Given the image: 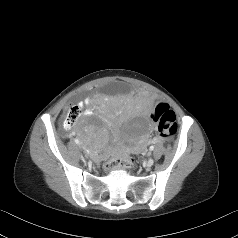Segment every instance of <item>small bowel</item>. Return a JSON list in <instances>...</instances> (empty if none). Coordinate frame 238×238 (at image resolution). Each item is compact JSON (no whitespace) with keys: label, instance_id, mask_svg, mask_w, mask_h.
I'll return each mask as SVG.
<instances>
[{"label":"small bowel","instance_id":"1","mask_svg":"<svg viewBox=\"0 0 238 238\" xmlns=\"http://www.w3.org/2000/svg\"><path fill=\"white\" fill-rule=\"evenodd\" d=\"M89 103H90V99H88V98H86V99L82 102V104H84V105H88ZM148 107H149L150 113L152 114V112H153L155 106L153 107L151 104H149Z\"/></svg>","mask_w":238,"mask_h":238}]
</instances>
